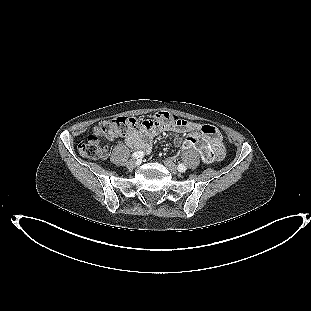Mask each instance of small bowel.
Returning <instances> with one entry per match:
<instances>
[{"instance_id": "1", "label": "small bowel", "mask_w": 311, "mask_h": 311, "mask_svg": "<svg viewBox=\"0 0 311 311\" xmlns=\"http://www.w3.org/2000/svg\"><path fill=\"white\" fill-rule=\"evenodd\" d=\"M196 128H200L210 138L215 158L220 159L224 150L222 136L219 130L210 124L198 125L197 123L188 122V126L186 127H180L173 124L142 126L138 130L126 135L125 141L133 149L140 150L143 153H149L151 151L152 140L156 136L165 132L183 133ZM173 142L176 146H192L188 141H183L180 137H175Z\"/></svg>"}]
</instances>
